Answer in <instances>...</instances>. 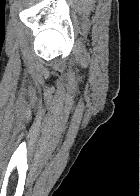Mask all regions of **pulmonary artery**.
Returning a JSON list of instances; mask_svg holds the SVG:
<instances>
[{"mask_svg": "<svg viewBox=\"0 0 140 196\" xmlns=\"http://www.w3.org/2000/svg\"><path fill=\"white\" fill-rule=\"evenodd\" d=\"M32 192H48V191H32Z\"/></svg>", "mask_w": 140, "mask_h": 196, "instance_id": "pulmonary-artery-1", "label": "pulmonary artery"}]
</instances>
